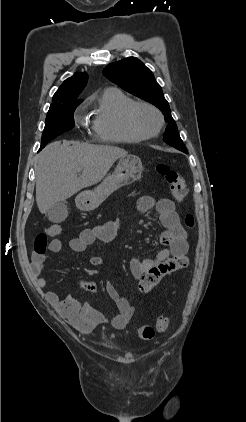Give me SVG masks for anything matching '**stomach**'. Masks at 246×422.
Here are the masks:
<instances>
[{
  "mask_svg": "<svg viewBox=\"0 0 246 422\" xmlns=\"http://www.w3.org/2000/svg\"><path fill=\"white\" fill-rule=\"evenodd\" d=\"M142 171L143 165L139 157L135 155L122 157L111 175L94 189L86 190L77 196V206L84 211L94 210L114 191L139 179Z\"/></svg>",
  "mask_w": 246,
  "mask_h": 422,
  "instance_id": "obj_1",
  "label": "stomach"
}]
</instances>
